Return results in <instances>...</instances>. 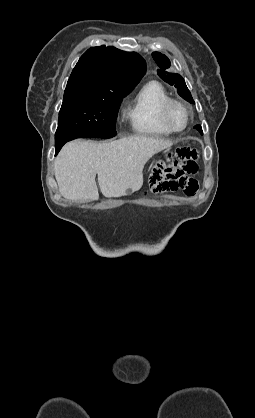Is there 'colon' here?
Segmentation results:
<instances>
[{
    "label": "colon",
    "mask_w": 255,
    "mask_h": 418,
    "mask_svg": "<svg viewBox=\"0 0 255 418\" xmlns=\"http://www.w3.org/2000/svg\"><path fill=\"white\" fill-rule=\"evenodd\" d=\"M199 153L190 147H181L168 153L153 170L148 191L161 193L169 190H182L187 196L197 192L198 183L193 175L198 170Z\"/></svg>",
    "instance_id": "colon-1"
}]
</instances>
